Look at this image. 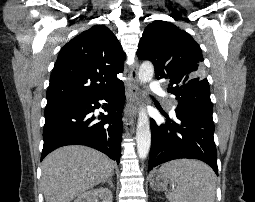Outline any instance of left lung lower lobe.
Segmentation results:
<instances>
[{"label":"left lung lower lobe","instance_id":"left-lung-lower-lobe-1","mask_svg":"<svg viewBox=\"0 0 255 202\" xmlns=\"http://www.w3.org/2000/svg\"><path fill=\"white\" fill-rule=\"evenodd\" d=\"M165 117L166 123L159 126L150 120L152 145L148 170L170 160L190 158L206 162L218 175L212 115L182 110L176 111L175 120Z\"/></svg>","mask_w":255,"mask_h":202}]
</instances>
